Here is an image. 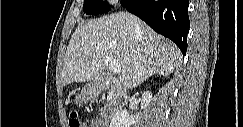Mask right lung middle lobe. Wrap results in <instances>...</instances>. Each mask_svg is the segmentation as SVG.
I'll list each match as a JSON object with an SVG mask.
<instances>
[{
  "instance_id": "obj_1",
  "label": "right lung middle lobe",
  "mask_w": 243,
  "mask_h": 127,
  "mask_svg": "<svg viewBox=\"0 0 243 127\" xmlns=\"http://www.w3.org/2000/svg\"><path fill=\"white\" fill-rule=\"evenodd\" d=\"M110 10L103 0H84L83 11L87 15H98L106 13Z\"/></svg>"
}]
</instances>
